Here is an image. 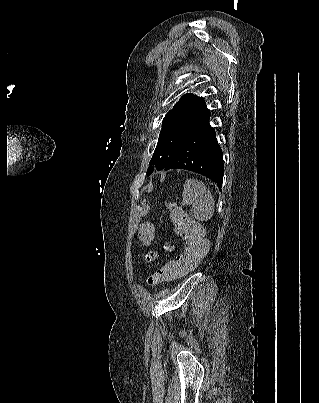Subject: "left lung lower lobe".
I'll return each mask as SVG.
<instances>
[{"instance_id": "1", "label": "left lung lower lobe", "mask_w": 319, "mask_h": 403, "mask_svg": "<svg viewBox=\"0 0 319 403\" xmlns=\"http://www.w3.org/2000/svg\"><path fill=\"white\" fill-rule=\"evenodd\" d=\"M207 110L190 129L186 139L176 150L164 170L186 169L202 174L221 189L224 168L223 153L209 125Z\"/></svg>"}]
</instances>
